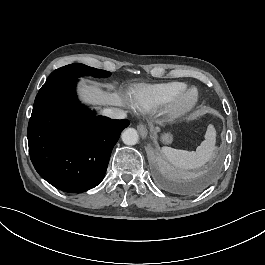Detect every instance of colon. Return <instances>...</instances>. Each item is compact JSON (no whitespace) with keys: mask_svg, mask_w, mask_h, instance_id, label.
I'll return each mask as SVG.
<instances>
[{"mask_svg":"<svg viewBox=\"0 0 265 265\" xmlns=\"http://www.w3.org/2000/svg\"><path fill=\"white\" fill-rule=\"evenodd\" d=\"M198 106H193L192 108H191V110H188V111H186V116H188V117H190V116H192V114H194V113H196L197 111H198Z\"/></svg>","mask_w":265,"mask_h":265,"instance_id":"1","label":"colon"}]
</instances>
